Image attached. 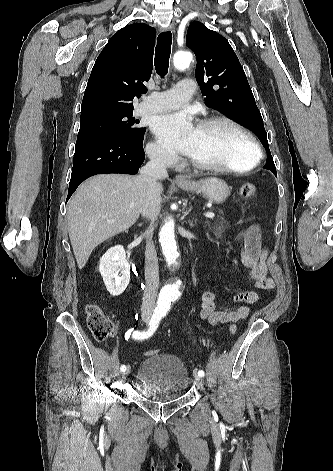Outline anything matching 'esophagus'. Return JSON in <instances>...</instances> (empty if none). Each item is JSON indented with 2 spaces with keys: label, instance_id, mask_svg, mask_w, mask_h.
I'll return each mask as SVG.
<instances>
[{
  "label": "esophagus",
  "instance_id": "esophagus-1",
  "mask_svg": "<svg viewBox=\"0 0 333 471\" xmlns=\"http://www.w3.org/2000/svg\"><path fill=\"white\" fill-rule=\"evenodd\" d=\"M165 30H168V31H171L172 33H174L175 32V27H174V25H169L168 27L165 28ZM175 180L177 182H180V183L188 182V179L183 175H177L175 177Z\"/></svg>",
  "mask_w": 333,
  "mask_h": 471
}]
</instances>
